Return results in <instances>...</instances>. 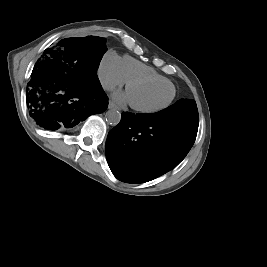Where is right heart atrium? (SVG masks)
Segmentation results:
<instances>
[{
    "instance_id": "obj_1",
    "label": "right heart atrium",
    "mask_w": 267,
    "mask_h": 267,
    "mask_svg": "<svg viewBox=\"0 0 267 267\" xmlns=\"http://www.w3.org/2000/svg\"><path fill=\"white\" fill-rule=\"evenodd\" d=\"M98 78L102 87L112 90L122 86L126 79L123 74L121 59L112 51L104 54L98 67Z\"/></svg>"
}]
</instances>
